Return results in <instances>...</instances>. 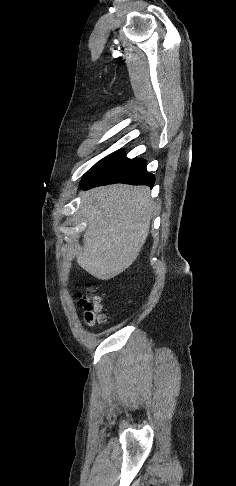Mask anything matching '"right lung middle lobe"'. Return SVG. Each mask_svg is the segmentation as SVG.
<instances>
[{
  "mask_svg": "<svg viewBox=\"0 0 236 486\" xmlns=\"http://www.w3.org/2000/svg\"><path fill=\"white\" fill-rule=\"evenodd\" d=\"M114 153L108 155L107 157L103 158L100 160L98 163H96L83 177L82 181H84L95 169H97L101 164H103L107 159H109Z\"/></svg>",
  "mask_w": 236,
  "mask_h": 486,
  "instance_id": "right-lung-middle-lobe-1",
  "label": "right lung middle lobe"
}]
</instances>
